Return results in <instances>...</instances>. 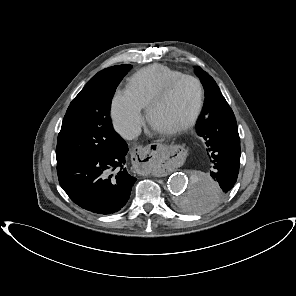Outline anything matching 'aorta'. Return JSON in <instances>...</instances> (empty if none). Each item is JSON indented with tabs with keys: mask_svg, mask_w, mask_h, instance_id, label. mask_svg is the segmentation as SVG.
Listing matches in <instances>:
<instances>
[{
	"mask_svg": "<svg viewBox=\"0 0 296 296\" xmlns=\"http://www.w3.org/2000/svg\"><path fill=\"white\" fill-rule=\"evenodd\" d=\"M218 187L212 177L196 171L175 173L168 180L176 206L193 214H204L215 207L219 199Z\"/></svg>",
	"mask_w": 296,
	"mask_h": 296,
	"instance_id": "1",
	"label": "aorta"
}]
</instances>
